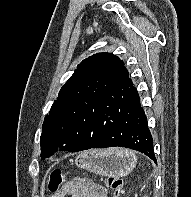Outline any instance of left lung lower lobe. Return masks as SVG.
I'll return each mask as SVG.
<instances>
[{
	"mask_svg": "<svg viewBox=\"0 0 191 197\" xmlns=\"http://www.w3.org/2000/svg\"><path fill=\"white\" fill-rule=\"evenodd\" d=\"M64 135L72 147L70 152L127 147L157 162L146 115L131 79L95 97L76 114Z\"/></svg>",
	"mask_w": 191,
	"mask_h": 197,
	"instance_id": "0a47b994",
	"label": "left lung lower lobe"
}]
</instances>
